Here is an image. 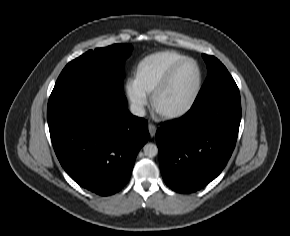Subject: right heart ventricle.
<instances>
[{
	"label": "right heart ventricle",
	"mask_w": 290,
	"mask_h": 236,
	"mask_svg": "<svg viewBox=\"0 0 290 236\" xmlns=\"http://www.w3.org/2000/svg\"><path fill=\"white\" fill-rule=\"evenodd\" d=\"M182 58L184 56L175 51L152 54L138 65L134 81L147 94H150L162 82L171 67Z\"/></svg>",
	"instance_id": "e07e8e85"
}]
</instances>
